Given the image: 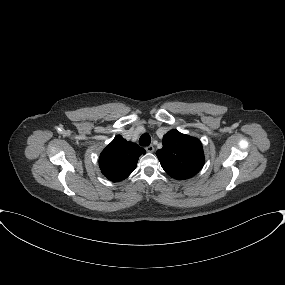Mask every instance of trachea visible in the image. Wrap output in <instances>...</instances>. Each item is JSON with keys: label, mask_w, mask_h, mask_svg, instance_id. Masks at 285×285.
<instances>
[{"label": "trachea", "mask_w": 285, "mask_h": 285, "mask_svg": "<svg viewBox=\"0 0 285 285\" xmlns=\"http://www.w3.org/2000/svg\"><path fill=\"white\" fill-rule=\"evenodd\" d=\"M150 143H151V137L148 133H144L139 139V144L141 146H149Z\"/></svg>", "instance_id": "obj_1"}]
</instances>
